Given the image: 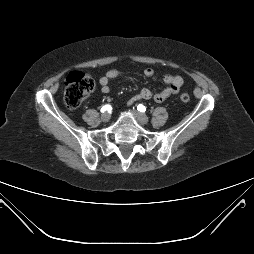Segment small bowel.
<instances>
[{
	"label": "small bowel",
	"instance_id": "1",
	"mask_svg": "<svg viewBox=\"0 0 254 254\" xmlns=\"http://www.w3.org/2000/svg\"><path fill=\"white\" fill-rule=\"evenodd\" d=\"M155 74L154 69L146 68L144 70V75L146 77H153ZM121 75V71L118 69H110L105 75L100 77L99 85L100 90L103 94H108L110 92V81L118 78ZM166 87L157 93H153L148 88H143L138 94L132 96L128 104L131 105L139 100H149L153 99L155 102L162 103L166 101L170 96L175 95L179 92L181 87L184 85V80L179 75L167 74L163 77Z\"/></svg>",
	"mask_w": 254,
	"mask_h": 254
}]
</instances>
